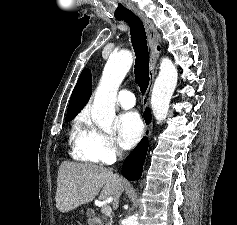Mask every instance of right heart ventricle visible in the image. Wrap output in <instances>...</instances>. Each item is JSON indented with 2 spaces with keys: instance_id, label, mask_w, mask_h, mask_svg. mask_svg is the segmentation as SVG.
<instances>
[{
  "instance_id": "e07e8e85",
  "label": "right heart ventricle",
  "mask_w": 237,
  "mask_h": 225,
  "mask_svg": "<svg viewBox=\"0 0 237 225\" xmlns=\"http://www.w3.org/2000/svg\"><path fill=\"white\" fill-rule=\"evenodd\" d=\"M87 119L85 116H79L73 125L71 131V141L73 144V157L80 161L94 162L88 155L85 148V138L87 133Z\"/></svg>"
}]
</instances>
